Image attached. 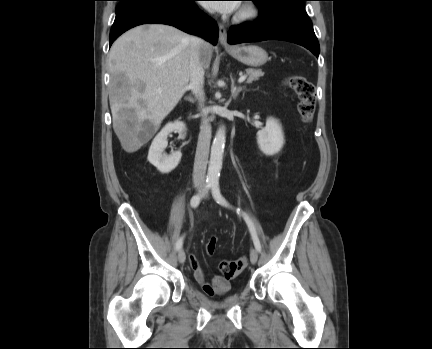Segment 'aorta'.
Listing matches in <instances>:
<instances>
[{
	"label": "aorta",
	"mask_w": 432,
	"mask_h": 349,
	"mask_svg": "<svg viewBox=\"0 0 432 349\" xmlns=\"http://www.w3.org/2000/svg\"><path fill=\"white\" fill-rule=\"evenodd\" d=\"M226 142V131L224 126H220L216 132L211 146L210 161L208 166L207 180L214 182L219 180L222 169V160Z\"/></svg>",
	"instance_id": "762f6f07"
}]
</instances>
